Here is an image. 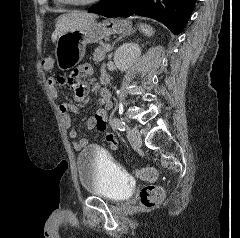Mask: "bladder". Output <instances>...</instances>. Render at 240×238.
Instances as JSON below:
<instances>
[{
  "instance_id": "1",
  "label": "bladder",
  "mask_w": 240,
  "mask_h": 238,
  "mask_svg": "<svg viewBox=\"0 0 240 238\" xmlns=\"http://www.w3.org/2000/svg\"><path fill=\"white\" fill-rule=\"evenodd\" d=\"M81 187L90 195L110 202L130 197L134 181L104 150L89 146L77 156Z\"/></svg>"
}]
</instances>
